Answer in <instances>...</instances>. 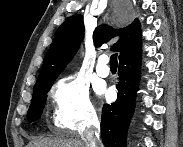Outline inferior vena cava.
I'll use <instances>...</instances> for the list:
<instances>
[{
  "instance_id": "obj_1",
  "label": "inferior vena cava",
  "mask_w": 183,
  "mask_h": 147,
  "mask_svg": "<svg viewBox=\"0 0 183 147\" xmlns=\"http://www.w3.org/2000/svg\"><path fill=\"white\" fill-rule=\"evenodd\" d=\"M100 122L96 116L93 117V120L90 126L85 130L81 135L82 140L85 142L86 147H100Z\"/></svg>"
}]
</instances>
